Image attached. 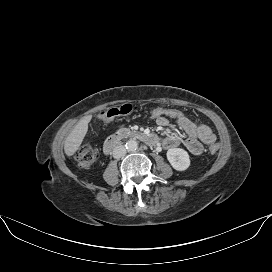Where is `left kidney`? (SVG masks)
Returning a JSON list of instances; mask_svg holds the SVG:
<instances>
[{
	"mask_svg": "<svg viewBox=\"0 0 272 272\" xmlns=\"http://www.w3.org/2000/svg\"><path fill=\"white\" fill-rule=\"evenodd\" d=\"M167 159L171 166L177 171H184L190 166L187 151L181 148H171L167 151Z\"/></svg>",
	"mask_w": 272,
	"mask_h": 272,
	"instance_id": "5707ae66",
	"label": "left kidney"
}]
</instances>
